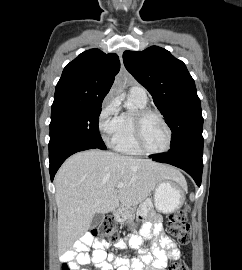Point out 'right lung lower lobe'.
I'll return each mask as SVG.
<instances>
[{"instance_id": "98d812e1", "label": "right lung lower lobe", "mask_w": 242, "mask_h": 270, "mask_svg": "<svg viewBox=\"0 0 242 270\" xmlns=\"http://www.w3.org/2000/svg\"><path fill=\"white\" fill-rule=\"evenodd\" d=\"M102 149L105 150L106 148L102 147H97L88 143H80V144H69L62 146L52 153L49 154V161H50V166H49V171H50V177L51 181H53L54 176L59 169V167L62 165V163L72 154L83 151V150H88V149Z\"/></svg>"}]
</instances>
